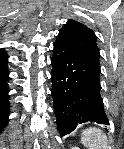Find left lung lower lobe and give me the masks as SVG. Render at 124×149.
Returning <instances> with one entry per match:
<instances>
[{"instance_id": "1", "label": "left lung lower lobe", "mask_w": 124, "mask_h": 149, "mask_svg": "<svg viewBox=\"0 0 124 149\" xmlns=\"http://www.w3.org/2000/svg\"><path fill=\"white\" fill-rule=\"evenodd\" d=\"M51 65L53 107L60 135L85 122L109 125L100 94V67L60 34Z\"/></svg>"}]
</instances>
